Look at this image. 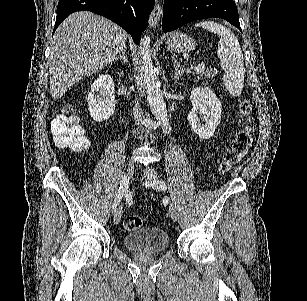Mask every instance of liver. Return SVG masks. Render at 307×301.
I'll use <instances>...</instances> for the list:
<instances>
[{
    "label": "liver",
    "instance_id": "liver-1",
    "mask_svg": "<svg viewBox=\"0 0 307 301\" xmlns=\"http://www.w3.org/2000/svg\"><path fill=\"white\" fill-rule=\"evenodd\" d=\"M127 32L104 16L80 10L69 14L50 42L49 80L53 98L110 64L126 48Z\"/></svg>",
    "mask_w": 307,
    "mask_h": 301
}]
</instances>
